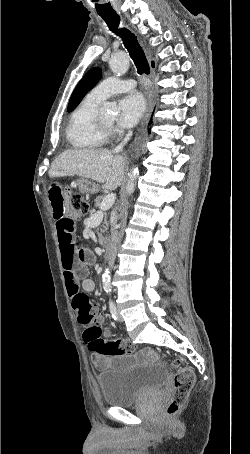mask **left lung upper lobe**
I'll return each instance as SVG.
<instances>
[{
	"instance_id": "left-lung-upper-lobe-1",
	"label": "left lung upper lobe",
	"mask_w": 250,
	"mask_h": 454,
	"mask_svg": "<svg viewBox=\"0 0 250 454\" xmlns=\"http://www.w3.org/2000/svg\"><path fill=\"white\" fill-rule=\"evenodd\" d=\"M100 77L101 70L99 68H92L85 74L72 93L67 108L68 112L74 110L78 106L82 98L97 84Z\"/></svg>"
}]
</instances>
